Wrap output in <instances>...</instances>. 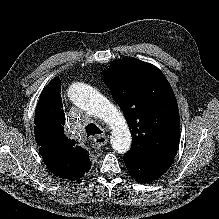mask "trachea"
Here are the masks:
<instances>
[{
  "label": "trachea",
  "instance_id": "obj_1",
  "mask_svg": "<svg viewBox=\"0 0 219 219\" xmlns=\"http://www.w3.org/2000/svg\"><path fill=\"white\" fill-rule=\"evenodd\" d=\"M85 129H86V133L88 135H97V134L103 133V131L97 125H95L94 123L88 124L85 127Z\"/></svg>",
  "mask_w": 219,
  "mask_h": 219
}]
</instances>
